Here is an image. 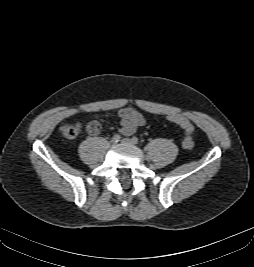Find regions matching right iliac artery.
I'll return each mask as SVG.
<instances>
[{"mask_svg": "<svg viewBox=\"0 0 254 267\" xmlns=\"http://www.w3.org/2000/svg\"><path fill=\"white\" fill-rule=\"evenodd\" d=\"M121 139V136L119 134H115L113 137H112V142L113 143H117L119 142Z\"/></svg>", "mask_w": 254, "mask_h": 267, "instance_id": "obj_1", "label": "right iliac artery"}]
</instances>
